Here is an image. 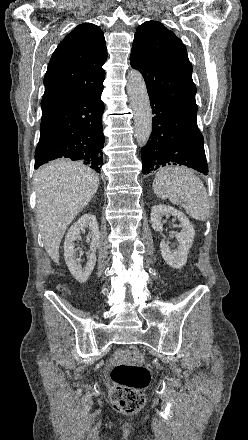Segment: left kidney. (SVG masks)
I'll return each mask as SVG.
<instances>
[{"label":"left kidney","instance_id":"left-kidney-1","mask_svg":"<svg viewBox=\"0 0 248 440\" xmlns=\"http://www.w3.org/2000/svg\"><path fill=\"white\" fill-rule=\"evenodd\" d=\"M164 215L176 217L181 223L182 231L176 234L179 245L175 251H171L164 240L160 242L161 255L169 266L180 269L187 262V256L194 241L195 230L189 219L181 211L166 205H156L151 211V224L155 231L163 230L161 219Z\"/></svg>","mask_w":248,"mask_h":440}]
</instances>
